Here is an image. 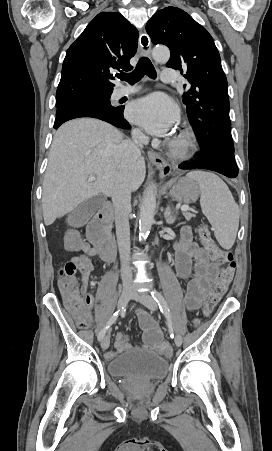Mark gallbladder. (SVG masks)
<instances>
[{
  "label": "gallbladder",
  "mask_w": 272,
  "mask_h": 451,
  "mask_svg": "<svg viewBox=\"0 0 272 451\" xmlns=\"http://www.w3.org/2000/svg\"><path fill=\"white\" fill-rule=\"evenodd\" d=\"M98 208H100V204H95L93 198H89V200H86V202L77 206V208L69 214L67 224L74 227L84 226V224L92 218L93 214L97 212Z\"/></svg>",
  "instance_id": "gallbladder-1"
}]
</instances>
